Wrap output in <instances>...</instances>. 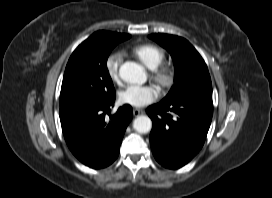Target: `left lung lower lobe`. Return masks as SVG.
I'll return each instance as SVG.
<instances>
[{
    "instance_id": "1",
    "label": "left lung lower lobe",
    "mask_w": 272,
    "mask_h": 198,
    "mask_svg": "<svg viewBox=\"0 0 272 198\" xmlns=\"http://www.w3.org/2000/svg\"><path fill=\"white\" fill-rule=\"evenodd\" d=\"M153 127L150 144L155 159L164 167L187 164L202 148L212 114V99L188 97L160 102L147 108Z\"/></svg>"
}]
</instances>
